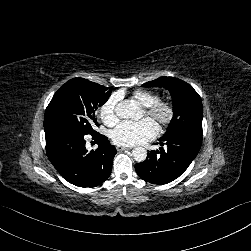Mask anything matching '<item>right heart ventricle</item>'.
<instances>
[{"label":"right heart ventricle","instance_id":"1","mask_svg":"<svg viewBox=\"0 0 251 251\" xmlns=\"http://www.w3.org/2000/svg\"><path fill=\"white\" fill-rule=\"evenodd\" d=\"M131 98L140 106L148 107L160 100V95L154 91L136 90L132 93Z\"/></svg>","mask_w":251,"mask_h":251}]
</instances>
